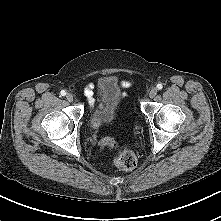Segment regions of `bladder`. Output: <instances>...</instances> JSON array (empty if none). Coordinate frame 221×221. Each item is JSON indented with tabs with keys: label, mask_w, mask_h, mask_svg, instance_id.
Listing matches in <instances>:
<instances>
[{
	"label": "bladder",
	"mask_w": 221,
	"mask_h": 221,
	"mask_svg": "<svg viewBox=\"0 0 221 221\" xmlns=\"http://www.w3.org/2000/svg\"><path fill=\"white\" fill-rule=\"evenodd\" d=\"M106 92H111L108 96ZM121 94L117 89L114 78L101 80V89L90 113V123L94 129L113 123L120 112Z\"/></svg>",
	"instance_id": "31cf9c89"
}]
</instances>
